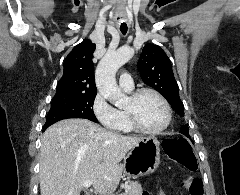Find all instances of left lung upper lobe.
I'll use <instances>...</instances> for the list:
<instances>
[{
  "label": "left lung upper lobe",
  "instance_id": "obj_1",
  "mask_svg": "<svg viewBox=\"0 0 240 195\" xmlns=\"http://www.w3.org/2000/svg\"><path fill=\"white\" fill-rule=\"evenodd\" d=\"M138 68L143 82L160 92L178 115L184 116V105L179 97V87L171 62L162 48L146 44L138 61ZM180 131L189 137L188 124L182 125Z\"/></svg>",
  "mask_w": 240,
  "mask_h": 195
}]
</instances>
